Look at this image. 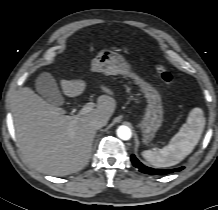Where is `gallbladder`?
Wrapping results in <instances>:
<instances>
[{"mask_svg":"<svg viewBox=\"0 0 218 210\" xmlns=\"http://www.w3.org/2000/svg\"><path fill=\"white\" fill-rule=\"evenodd\" d=\"M36 91L49 103L60 105L63 103V97L58 85L50 73H41L35 81Z\"/></svg>","mask_w":218,"mask_h":210,"instance_id":"bac80fb5","label":"gallbladder"}]
</instances>
